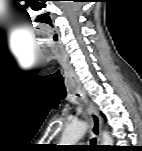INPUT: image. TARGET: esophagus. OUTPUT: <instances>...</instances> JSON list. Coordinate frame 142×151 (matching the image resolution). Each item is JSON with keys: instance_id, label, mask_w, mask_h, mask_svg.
<instances>
[{"instance_id": "obj_1", "label": "esophagus", "mask_w": 142, "mask_h": 151, "mask_svg": "<svg viewBox=\"0 0 142 151\" xmlns=\"http://www.w3.org/2000/svg\"><path fill=\"white\" fill-rule=\"evenodd\" d=\"M76 91L84 98L85 102H87V99L85 98L80 87H78L76 89ZM88 112H89L91 122H92L91 132L97 138V142L100 144L102 142V138H101L102 121H101V118L98 115L95 107L91 104L88 105Z\"/></svg>"}]
</instances>
